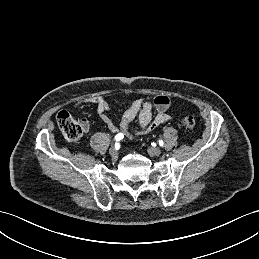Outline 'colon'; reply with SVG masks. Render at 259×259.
<instances>
[{
    "label": "colon",
    "mask_w": 259,
    "mask_h": 259,
    "mask_svg": "<svg viewBox=\"0 0 259 259\" xmlns=\"http://www.w3.org/2000/svg\"><path fill=\"white\" fill-rule=\"evenodd\" d=\"M57 125L63 137L69 142H75L82 136V127L73 119L66 111H61L57 115ZM181 125L186 133H192L195 128V119L192 116H187L182 119Z\"/></svg>",
    "instance_id": "colon-1"
}]
</instances>
